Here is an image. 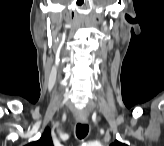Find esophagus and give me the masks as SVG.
<instances>
[{"mask_svg": "<svg viewBox=\"0 0 164 146\" xmlns=\"http://www.w3.org/2000/svg\"><path fill=\"white\" fill-rule=\"evenodd\" d=\"M78 121L80 123H87L88 122V120L86 118H79Z\"/></svg>", "mask_w": 164, "mask_h": 146, "instance_id": "obj_1", "label": "esophagus"}]
</instances>
